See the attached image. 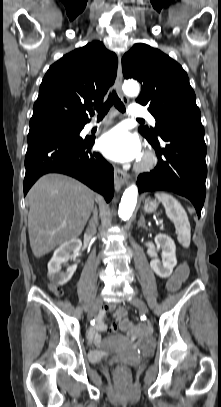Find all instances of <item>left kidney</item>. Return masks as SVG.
Segmentation results:
<instances>
[{
	"label": "left kidney",
	"instance_id": "left-kidney-1",
	"mask_svg": "<svg viewBox=\"0 0 221 407\" xmlns=\"http://www.w3.org/2000/svg\"><path fill=\"white\" fill-rule=\"evenodd\" d=\"M155 243L157 248L162 250L163 260L161 262L158 258H154L150 262V267L159 277L168 278L177 264L175 243L165 234H158L155 237Z\"/></svg>",
	"mask_w": 221,
	"mask_h": 407
}]
</instances>
